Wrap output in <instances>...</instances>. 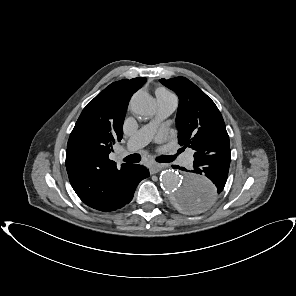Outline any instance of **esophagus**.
<instances>
[{"label": "esophagus", "mask_w": 296, "mask_h": 296, "mask_svg": "<svg viewBox=\"0 0 296 296\" xmlns=\"http://www.w3.org/2000/svg\"><path fill=\"white\" fill-rule=\"evenodd\" d=\"M165 167H166L165 164H157V163L151 164L150 167H149L150 174H156L161 169H163Z\"/></svg>", "instance_id": "34e87169"}]
</instances>
